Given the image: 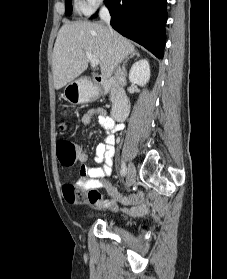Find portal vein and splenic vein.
I'll use <instances>...</instances> for the list:
<instances>
[{"mask_svg":"<svg viewBox=\"0 0 227 279\" xmlns=\"http://www.w3.org/2000/svg\"><path fill=\"white\" fill-rule=\"evenodd\" d=\"M86 57H87L88 61H90V63L94 66L98 65L100 62L99 59L90 52H86Z\"/></svg>","mask_w":227,"mask_h":279,"instance_id":"18ae733b","label":"portal vein and splenic vein"}]
</instances>
